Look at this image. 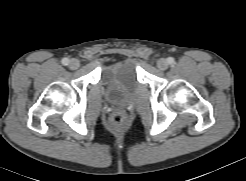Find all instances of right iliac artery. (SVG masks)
Returning <instances> with one entry per match:
<instances>
[{"label":"right iliac artery","mask_w":246,"mask_h":181,"mask_svg":"<svg viewBox=\"0 0 246 181\" xmlns=\"http://www.w3.org/2000/svg\"><path fill=\"white\" fill-rule=\"evenodd\" d=\"M61 62H62L63 65H68L69 64V59L68 58H63Z\"/></svg>","instance_id":"1"}]
</instances>
